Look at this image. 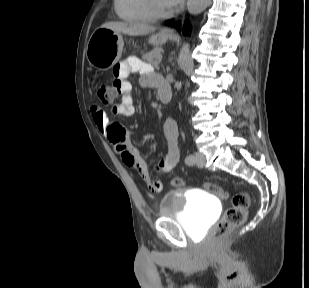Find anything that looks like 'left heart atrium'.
Segmentation results:
<instances>
[{"mask_svg": "<svg viewBox=\"0 0 309 288\" xmlns=\"http://www.w3.org/2000/svg\"><path fill=\"white\" fill-rule=\"evenodd\" d=\"M165 2L169 8H173L177 7L182 2V0H165Z\"/></svg>", "mask_w": 309, "mask_h": 288, "instance_id": "left-heart-atrium-1", "label": "left heart atrium"}]
</instances>
